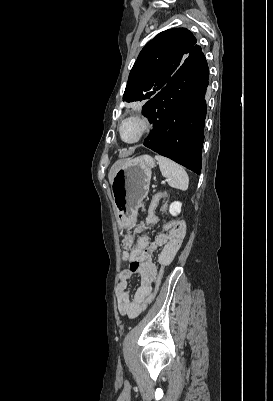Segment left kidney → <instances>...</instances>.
<instances>
[{"instance_id":"left-kidney-1","label":"left kidney","mask_w":273,"mask_h":401,"mask_svg":"<svg viewBox=\"0 0 273 401\" xmlns=\"http://www.w3.org/2000/svg\"><path fill=\"white\" fill-rule=\"evenodd\" d=\"M181 207H182V203H179V201H175V203H171V205L169 207L170 215H173V217H176V215H179V213H181Z\"/></svg>"}]
</instances>
